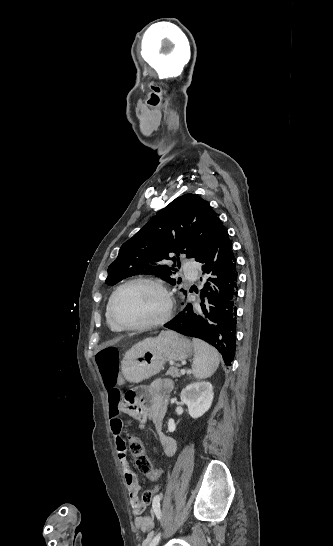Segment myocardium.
Masks as SVG:
<instances>
[{
	"label": "myocardium",
	"instance_id": "obj_1",
	"mask_svg": "<svg viewBox=\"0 0 333 546\" xmlns=\"http://www.w3.org/2000/svg\"><path fill=\"white\" fill-rule=\"evenodd\" d=\"M135 283H146V284H150L159 288L165 297L166 307L162 315L155 320L145 322L142 324H137V325H125L120 323L115 316V313H114L115 300L122 289ZM173 310H174V298L170 290L166 286V284L160 279H157L154 277H147V276L133 277L126 280L122 284H120L111 294L109 299V304H108L109 317L112 323L114 324V326L118 328L120 331H144V330L157 328L159 326L166 324L170 320L173 314Z\"/></svg>",
	"mask_w": 333,
	"mask_h": 546
}]
</instances>
